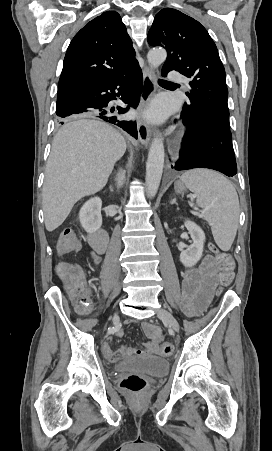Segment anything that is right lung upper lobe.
I'll return each mask as SVG.
<instances>
[{
  "instance_id": "right-lung-upper-lobe-1",
  "label": "right lung upper lobe",
  "mask_w": 272,
  "mask_h": 451,
  "mask_svg": "<svg viewBox=\"0 0 272 451\" xmlns=\"http://www.w3.org/2000/svg\"><path fill=\"white\" fill-rule=\"evenodd\" d=\"M135 50L120 15L107 11L88 22L71 41L63 62L58 94L110 82L128 70Z\"/></svg>"
}]
</instances>
